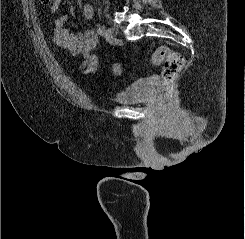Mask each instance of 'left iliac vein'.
Segmentation results:
<instances>
[{
	"mask_svg": "<svg viewBox=\"0 0 245 239\" xmlns=\"http://www.w3.org/2000/svg\"><path fill=\"white\" fill-rule=\"evenodd\" d=\"M105 37L108 41H112L114 38V30L112 27H109L105 31Z\"/></svg>",
	"mask_w": 245,
	"mask_h": 239,
	"instance_id": "obj_1",
	"label": "left iliac vein"
}]
</instances>
